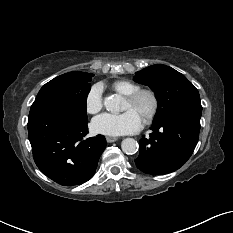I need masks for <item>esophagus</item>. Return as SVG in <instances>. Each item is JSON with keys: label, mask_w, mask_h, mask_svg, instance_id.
I'll use <instances>...</instances> for the list:
<instances>
[{"label": "esophagus", "mask_w": 233, "mask_h": 233, "mask_svg": "<svg viewBox=\"0 0 233 233\" xmlns=\"http://www.w3.org/2000/svg\"><path fill=\"white\" fill-rule=\"evenodd\" d=\"M106 140H107L108 143H112V142L117 141L118 138L117 137H112V136H107Z\"/></svg>", "instance_id": "34e87169"}]
</instances>
